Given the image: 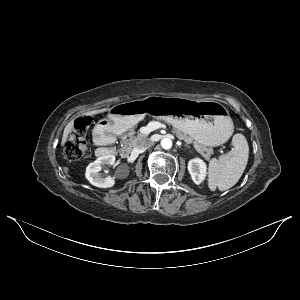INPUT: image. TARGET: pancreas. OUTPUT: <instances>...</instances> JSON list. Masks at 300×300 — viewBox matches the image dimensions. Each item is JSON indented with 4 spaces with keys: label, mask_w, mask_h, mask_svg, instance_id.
Listing matches in <instances>:
<instances>
[{
    "label": "pancreas",
    "mask_w": 300,
    "mask_h": 300,
    "mask_svg": "<svg viewBox=\"0 0 300 300\" xmlns=\"http://www.w3.org/2000/svg\"><path fill=\"white\" fill-rule=\"evenodd\" d=\"M174 134L181 140H184L188 144H193L194 148L206 159L209 160L211 155L213 154V150L211 148H207L205 145H202L196 141H194L191 137L186 134H183L181 131L174 129ZM145 138L144 134L139 133L138 135H134V129H130L127 134H124L121 137V148L120 152L122 154L128 153L131 151L133 147L138 145L140 141Z\"/></svg>",
    "instance_id": "pancreas-1"
}]
</instances>
